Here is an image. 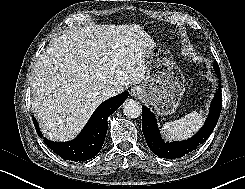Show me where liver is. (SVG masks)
I'll return each mask as SVG.
<instances>
[{
	"mask_svg": "<svg viewBox=\"0 0 245 189\" xmlns=\"http://www.w3.org/2000/svg\"><path fill=\"white\" fill-rule=\"evenodd\" d=\"M154 40L137 24L89 25L64 33L42 53L32 81L33 111L51 140L69 141L95 109L146 74L145 55Z\"/></svg>",
	"mask_w": 245,
	"mask_h": 189,
	"instance_id": "obj_1",
	"label": "liver"
}]
</instances>
